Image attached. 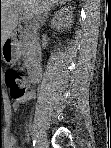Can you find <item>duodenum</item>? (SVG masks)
Here are the masks:
<instances>
[{"label": "duodenum", "mask_w": 111, "mask_h": 148, "mask_svg": "<svg viewBox=\"0 0 111 148\" xmlns=\"http://www.w3.org/2000/svg\"><path fill=\"white\" fill-rule=\"evenodd\" d=\"M37 82V70H33L31 74V83Z\"/></svg>", "instance_id": "duodenum-1"}]
</instances>
